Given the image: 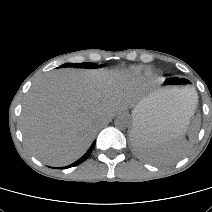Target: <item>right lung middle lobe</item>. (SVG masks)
<instances>
[{"instance_id":"1","label":"right lung middle lobe","mask_w":212,"mask_h":212,"mask_svg":"<svg viewBox=\"0 0 212 212\" xmlns=\"http://www.w3.org/2000/svg\"><path fill=\"white\" fill-rule=\"evenodd\" d=\"M62 67L98 68L99 66L97 64L86 62V63H80V64L66 63L60 66V68Z\"/></svg>"}]
</instances>
